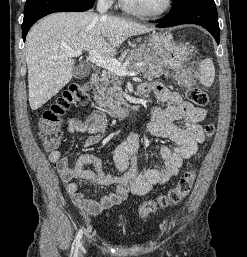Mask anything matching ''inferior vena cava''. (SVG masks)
<instances>
[{"mask_svg":"<svg viewBox=\"0 0 247 257\" xmlns=\"http://www.w3.org/2000/svg\"><path fill=\"white\" fill-rule=\"evenodd\" d=\"M108 10V4L106 0H98L97 11L101 14H105Z\"/></svg>","mask_w":247,"mask_h":257,"instance_id":"1","label":"inferior vena cava"}]
</instances>
